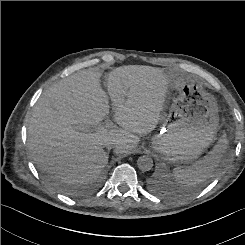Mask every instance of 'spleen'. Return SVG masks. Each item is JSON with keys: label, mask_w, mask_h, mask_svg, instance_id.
<instances>
[{"label": "spleen", "mask_w": 245, "mask_h": 245, "mask_svg": "<svg viewBox=\"0 0 245 245\" xmlns=\"http://www.w3.org/2000/svg\"><path fill=\"white\" fill-rule=\"evenodd\" d=\"M227 146L228 140L226 134H223L213 149L202 159L191 166H176L173 169L174 178L187 187H195L204 182L218 167Z\"/></svg>", "instance_id": "1"}]
</instances>
